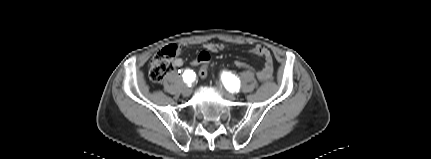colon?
Masks as SVG:
<instances>
[{"label":"colon","mask_w":431,"mask_h":159,"mask_svg":"<svg viewBox=\"0 0 431 159\" xmlns=\"http://www.w3.org/2000/svg\"><path fill=\"white\" fill-rule=\"evenodd\" d=\"M175 46L164 48L158 52L150 61L149 76L153 82H161L165 76L172 70V58L176 55ZM212 54L209 51H200L194 59H189V68L198 69V79L203 81L209 74V64L211 63ZM234 68L247 69L253 73L257 80L261 77L257 74L256 68L243 61H234Z\"/></svg>","instance_id":"colon-1"}]
</instances>
